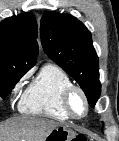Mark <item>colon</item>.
<instances>
[{"label": "colon", "instance_id": "obj_1", "mask_svg": "<svg viewBox=\"0 0 119 141\" xmlns=\"http://www.w3.org/2000/svg\"><path fill=\"white\" fill-rule=\"evenodd\" d=\"M73 141H86V138L83 135L76 136Z\"/></svg>", "mask_w": 119, "mask_h": 141}]
</instances>
